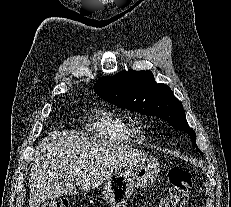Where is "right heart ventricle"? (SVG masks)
Returning a JSON list of instances; mask_svg holds the SVG:
<instances>
[{
	"mask_svg": "<svg viewBox=\"0 0 231 207\" xmlns=\"http://www.w3.org/2000/svg\"><path fill=\"white\" fill-rule=\"evenodd\" d=\"M87 130L97 137L111 140L131 142L140 137V130L130 117L106 107L91 114Z\"/></svg>",
	"mask_w": 231,
	"mask_h": 207,
	"instance_id": "right-heart-ventricle-1",
	"label": "right heart ventricle"
}]
</instances>
